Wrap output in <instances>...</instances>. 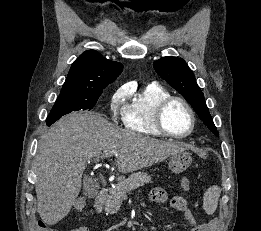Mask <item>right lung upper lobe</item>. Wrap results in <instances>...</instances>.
Instances as JSON below:
<instances>
[{"mask_svg": "<svg viewBox=\"0 0 261 231\" xmlns=\"http://www.w3.org/2000/svg\"><path fill=\"white\" fill-rule=\"evenodd\" d=\"M122 69L121 63L108 60L95 50L85 51L72 64L61 92L102 91Z\"/></svg>", "mask_w": 261, "mask_h": 231, "instance_id": "obj_1", "label": "right lung upper lobe"}]
</instances>
